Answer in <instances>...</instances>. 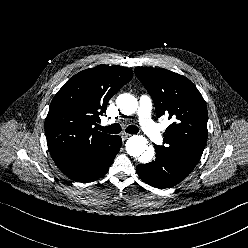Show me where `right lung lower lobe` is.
I'll return each mask as SVG.
<instances>
[{"instance_id":"right-lung-lower-lobe-1","label":"right lung lower lobe","mask_w":248,"mask_h":248,"mask_svg":"<svg viewBox=\"0 0 248 248\" xmlns=\"http://www.w3.org/2000/svg\"><path fill=\"white\" fill-rule=\"evenodd\" d=\"M121 144V137L113 135L95 152L81 158L73 167L61 171L78 182L95 181L108 172Z\"/></svg>"}]
</instances>
